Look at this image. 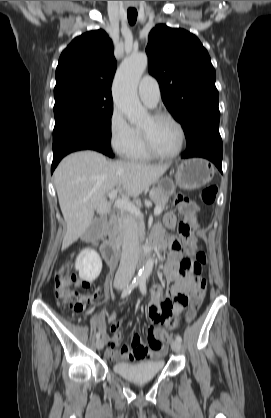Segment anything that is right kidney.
<instances>
[{
    "label": "right kidney",
    "mask_w": 271,
    "mask_h": 418,
    "mask_svg": "<svg viewBox=\"0 0 271 418\" xmlns=\"http://www.w3.org/2000/svg\"><path fill=\"white\" fill-rule=\"evenodd\" d=\"M75 269L79 271L81 279L91 282L99 276L102 260L95 250L85 249L78 255Z\"/></svg>",
    "instance_id": "ca27d5eb"
}]
</instances>
